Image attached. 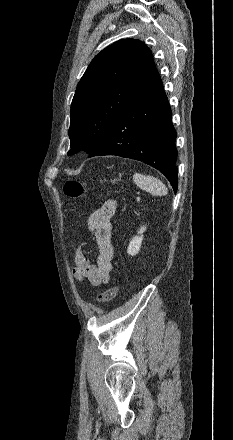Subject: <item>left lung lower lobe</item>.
<instances>
[{
    "instance_id": "left-lung-lower-lobe-1",
    "label": "left lung lower lobe",
    "mask_w": 233,
    "mask_h": 440,
    "mask_svg": "<svg viewBox=\"0 0 233 440\" xmlns=\"http://www.w3.org/2000/svg\"><path fill=\"white\" fill-rule=\"evenodd\" d=\"M159 73L155 69L120 112L103 142L89 157L116 155L158 169L177 191V133Z\"/></svg>"
}]
</instances>
